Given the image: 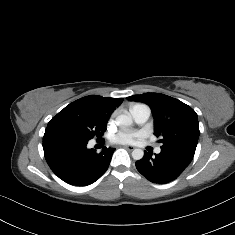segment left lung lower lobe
Instances as JSON below:
<instances>
[{"label": "left lung lower lobe", "instance_id": "0a47b994", "mask_svg": "<svg viewBox=\"0 0 235 235\" xmlns=\"http://www.w3.org/2000/svg\"><path fill=\"white\" fill-rule=\"evenodd\" d=\"M193 155L177 149L161 147L159 154L145 152L144 157L136 162V168L153 183H167L176 179L190 164Z\"/></svg>", "mask_w": 235, "mask_h": 235}]
</instances>
